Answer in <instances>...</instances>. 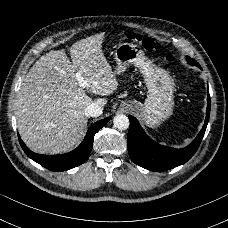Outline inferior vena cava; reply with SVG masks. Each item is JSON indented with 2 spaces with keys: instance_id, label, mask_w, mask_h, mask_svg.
<instances>
[{
  "instance_id": "602c4592",
  "label": "inferior vena cava",
  "mask_w": 228,
  "mask_h": 228,
  "mask_svg": "<svg viewBox=\"0 0 228 228\" xmlns=\"http://www.w3.org/2000/svg\"><path fill=\"white\" fill-rule=\"evenodd\" d=\"M84 112L86 116L98 117L103 113V108L96 102H92L87 105Z\"/></svg>"
}]
</instances>
